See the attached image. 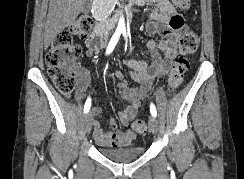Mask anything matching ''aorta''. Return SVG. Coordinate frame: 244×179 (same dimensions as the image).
Wrapping results in <instances>:
<instances>
[{
    "mask_svg": "<svg viewBox=\"0 0 244 179\" xmlns=\"http://www.w3.org/2000/svg\"><path fill=\"white\" fill-rule=\"evenodd\" d=\"M116 32H126L124 18H120Z\"/></svg>",
    "mask_w": 244,
    "mask_h": 179,
    "instance_id": "obj_1",
    "label": "aorta"
}]
</instances>
